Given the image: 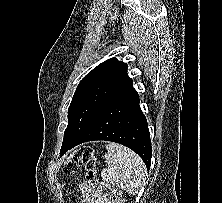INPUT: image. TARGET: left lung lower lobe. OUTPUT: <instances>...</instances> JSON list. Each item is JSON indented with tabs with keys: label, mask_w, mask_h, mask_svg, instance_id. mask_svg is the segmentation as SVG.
<instances>
[{
	"label": "left lung lower lobe",
	"mask_w": 222,
	"mask_h": 203,
	"mask_svg": "<svg viewBox=\"0 0 222 203\" xmlns=\"http://www.w3.org/2000/svg\"><path fill=\"white\" fill-rule=\"evenodd\" d=\"M129 79L107 98L82 132L62 145L60 156L87 141L106 140L122 144L151 164L152 148L147 120L139 107V96Z\"/></svg>",
	"instance_id": "obj_1"
}]
</instances>
